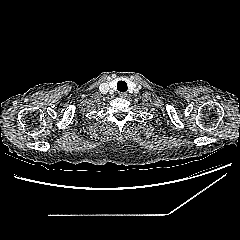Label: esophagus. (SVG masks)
<instances>
[{
  "label": "esophagus",
  "instance_id": "1",
  "mask_svg": "<svg viewBox=\"0 0 240 240\" xmlns=\"http://www.w3.org/2000/svg\"><path fill=\"white\" fill-rule=\"evenodd\" d=\"M126 96H127L126 92H120L119 93V97H121V98H125Z\"/></svg>",
  "mask_w": 240,
  "mask_h": 240
}]
</instances>
